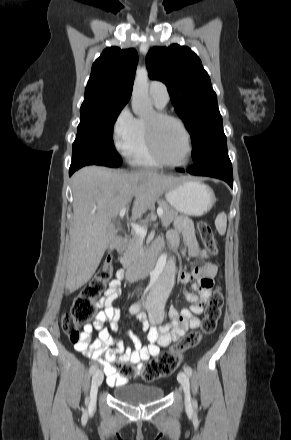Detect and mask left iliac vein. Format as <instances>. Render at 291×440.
Instances as JSON below:
<instances>
[{
  "label": "left iliac vein",
  "instance_id": "4c4485c4",
  "mask_svg": "<svg viewBox=\"0 0 291 440\" xmlns=\"http://www.w3.org/2000/svg\"><path fill=\"white\" fill-rule=\"evenodd\" d=\"M177 379L183 387L186 401L189 402L190 401V383H189L188 374L184 371H180L177 375Z\"/></svg>",
  "mask_w": 291,
  "mask_h": 440
}]
</instances>
